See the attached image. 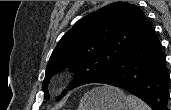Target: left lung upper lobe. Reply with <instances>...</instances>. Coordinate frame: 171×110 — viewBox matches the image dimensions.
<instances>
[{
	"instance_id": "left-lung-upper-lobe-1",
	"label": "left lung upper lobe",
	"mask_w": 171,
	"mask_h": 110,
	"mask_svg": "<svg viewBox=\"0 0 171 110\" xmlns=\"http://www.w3.org/2000/svg\"><path fill=\"white\" fill-rule=\"evenodd\" d=\"M149 24L138 6L126 2L111 3L80 19L51 54L43 82L44 99H49L46 85L51 76L67 68L77 75L70 89L95 83L117 65Z\"/></svg>"
}]
</instances>
